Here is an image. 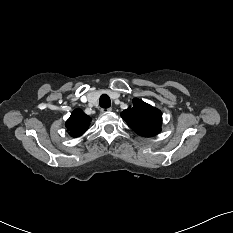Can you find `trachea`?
Wrapping results in <instances>:
<instances>
[{
  "mask_svg": "<svg viewBox=\"0 0 233 233\" xmlns=\"http://www.w3.org/2000/svg\"><path fill=\"white\" fill-rule=\"evenodd\" d=\"M99 104L102 108H109L111 106V100L104 94L100 97Z\"/></svg>",
  "mask_w": 233,
  "mask_h": 233,
  "instance_id": "1",
  "label": "trachea"
}]
</instances>
